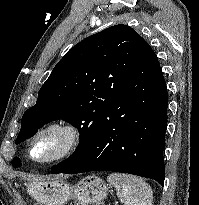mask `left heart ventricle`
Returning <instances> with one entry per match:
<instances>
[{"mask_svg": "<svg viewBox=\"0 0 199 205\" xmlns=\"http://www.w3.org/2000/svg\"><path fill=\"white\" fill-rule=\"evenodd\" d=\"M58 138L54 135H49L41 139L34 148V157L41 159L51 155L58 147Z\"/></svg>", "mask_w": 199, "mask_h": 205, "instance_id": "left-heart-ventricle-1", "label": "left heart ventricle"}]
</instances>
